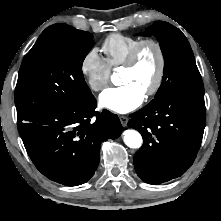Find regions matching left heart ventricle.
Returning <instances> with one entry per match:
<instances>
[{"instance_id": "left-heart-ventricle-1", "label": "left heart ventricle", "mask_w": 221, "mask_h": 221, "mask_svg": "<svg viewBox=\"0 0 221 221\" xmlns=\"http://www.w3.org/2000/svg\"><path fill=\"white\" fill-rule=\"evenodd\" d=\"M158 69V57L152 46L143 49L137 65L132 69L124 68L121 74V82L134 83L144 93L153 84Z\"/></svg>"}]
</instances>
